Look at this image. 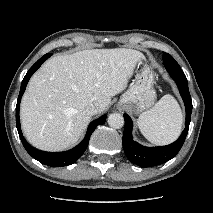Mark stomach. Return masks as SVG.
I'll return each instance as SVG.
<instances>
[{
    "mask_svg": "<svg viewBox=\"0 0 213 213\" xmlns=\"http://www.w3.org/2000/svg\"><path fill=\"white\" fill-rule=\"evenodd\" d=\"M154 77L153 71L145 65L136 80L121 96L118 106L134 114L150 108L156 100V92L153 88Z\"/></svg>",
    "mask_w": 213,
    "mask_h": 213,
    "instance_id": "stomach-1",
    "label": "stomach"
}]
</instances>
